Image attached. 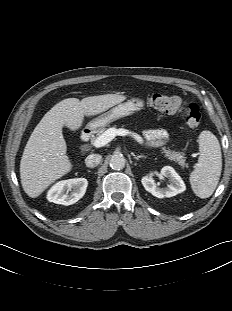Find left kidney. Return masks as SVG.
I'll return each mask as SVG.
<instances>
[{
	"instance_id": "left-kidney-1",
	"label": "left kidney",
	"mask_w": 232,
	"mask_h": 311,
	"mask_svg": "<svg viewBox=\"0 0 232 311\" xmlns=\"http://www.w3.org/2000/svg\"><path fill=\"white\" fill-rule=\"evenodd\" d=\"M161 174L169 179L170 184L165 188H159L154 179V173L151 172L147 176H144L141 180L145 190L151 193L157 198L173 197L186 190V186L182 178L171 166H164L161 169Z\"/></svg>"
}]
</instances>
